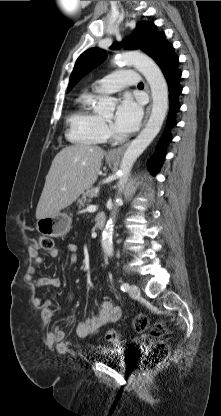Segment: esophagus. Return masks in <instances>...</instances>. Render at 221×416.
<instances>
[{
	"instance_id": "1",
	"label": "esophagus",
	"mask_w": 221,
	"mask_h": 416,
	"mask_svg": "<svg viewBox=\"0 0 221 416\" xmlns=\"http://www.w3.org/2000/svg\"><path fill=\"white\" fill-rule=\"evenodd\" d=\"M146 90L149 93V89H148L147 86H146ZM150 110H151V99H150L149 105L146 108L145 119H144L143 125H145V123L147 122V119H148L149 114H150ZM127 145L128 144H125V145L120 146L118 148H114V149L109 150L108 153H107V156L110 157V158H119L123 154Z\"/></svg>"
}]
</instances>
